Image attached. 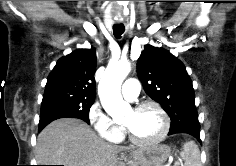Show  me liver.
I'll return each mask as SVG.
<instances>
[{"label": "liver", "mask_w": 236, "mask_h": 166, "mask_svg": "<svg viewBox=\"0 0 236 166\" xmlns=\"http://www.w3.org/2000/svg\"><path fill=\"white\" fill-rule=\"evenodd\" d=\"M130 150L105 142L83 121L58 119L38 135L36 161L38 165L118 166V153ZM141 150H131L130 166L137 164Z\"/></svg>", "instance_id": "liver-1"}]
</instances>
